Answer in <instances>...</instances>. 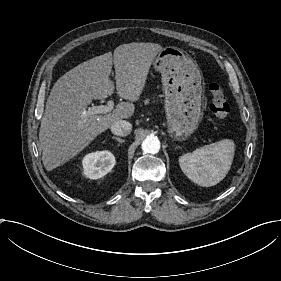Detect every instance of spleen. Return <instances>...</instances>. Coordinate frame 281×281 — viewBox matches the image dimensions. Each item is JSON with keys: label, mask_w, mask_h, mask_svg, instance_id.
Here are the masks:
<instances>
[{"label": "spleen", "mask_w": 281, "mask_h": 281, "mask_svg": "<svg viewBox=\"0 0 281 281\" xmlns=\"http://www.w3.org/2000/svg\"><path fill=\"white\" fill-rule=\"evenodd\" d=\"M236 142L222 139L202 146L191 155L180 158L185 175L201 186L210 187L221 182L229 173L235 157Z\"/></svg>", "instance_id": "1"}]
</instances>
